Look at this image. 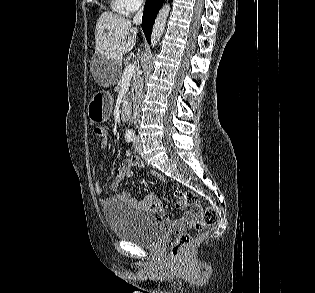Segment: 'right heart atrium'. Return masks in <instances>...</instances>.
Segmentation results:
<instances>
[{
	"mask_svg": "<svg viewBox=\"0 0 315 293\" xmlns=\"http://www.w3.org/2000/svg\"><path fill=\"white\" fill-rule=\"evenodd\" d=\"M127 12H133L143 6L145 0H121Z\"/></svg>",
	"mask_w": 315,
	"mask_h": 293,
	"instance_id": "1",
	"label": "right heart atrium"
}]
</instances>
